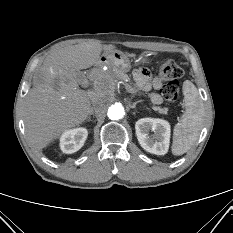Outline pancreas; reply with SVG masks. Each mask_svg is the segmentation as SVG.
Segmentation results:
<instances>
[{
  "label": "pancreas",
  "mask_w": 233,
  "mask_h": 233,
  "mask_svg": "<svg viewBox=\"0 0 233 233\" xmlns=\"http://www.w3.org/2000/svg\"><path fill=\"white\" fill-rule=\"evenodd\" d=\"M97 79L99 81H103L105 79H111L114 82L118 81V80H122V81H129V77L122 71L115 69L114 71H102L101 70V74L97 77ZM126 89L128 92L132 93V94H137L138 89L133 86L130 85L128 83L125 84ZM153 109L161 114H167L168 113V108L164 107L161 108L159 106H154Z\"/></svg>",
  "instance_id": "pancreas-1"
}]
</instances>
